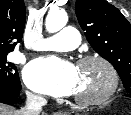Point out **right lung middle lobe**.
<instances>
[{
	"label": "right lung middle lobe",
	"instance_id": "dd1d6c3e",
	"mask_svg": "<svg viewBox=\"0 0 131 115\" xmlns=\"http://www.w3.org/2000/svg\"><path fill=\"white\" fill-rule=\"evenodd\" d=\"M19 82L16 66L7 61V53H0V91L10 90Z\"/></svg>",
	"mask_w": 131,
	"mask_h": 115
}]
</instances>
